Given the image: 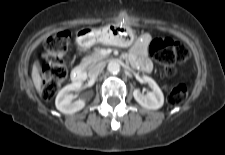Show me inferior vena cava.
Returning a JSON list of instances; mask_svg holds the SVG:
<instances>
[{
  "label": "inferior vena cava",
  "mask_w": 225,
  "mask_h": 155,
  "mask_svg": "<svg viewBox=\"0 0 225 155\" xmlns=\"http://www.w3.org/2000/svg\"><path fill=\"white\" fill-rule=\"evenodd\" d=\"M104 64L103 63H99L97 65L92 66L89 69L88 75L90 79H96L97 76L101 73V71L103 70Z\"/></svg>",
  "instance_id": "obj_1"
}]
</instances>
